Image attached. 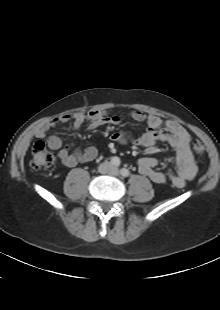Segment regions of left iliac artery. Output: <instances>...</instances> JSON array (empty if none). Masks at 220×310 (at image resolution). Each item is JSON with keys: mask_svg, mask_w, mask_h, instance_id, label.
Masks as SVG:
<instances>
[{"mask_svg": "<svg viewBox=\"0 0 220 310\" xmlns=\"http://www.w3.org/2000/svg\"><path fill=\"white\" fill-rule=\"evenodd\" d=\"M120 173H121V175H122L123 177H128L129 174H130L129 170L126 169V168H122V169L120 170Z\"/></svg>", "mask_w": 220, "mask_h": 310, "instance_id": "44dca946", "label": "left iliac artery"}]
</instances>
